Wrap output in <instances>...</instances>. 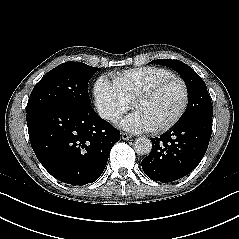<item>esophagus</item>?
<instances>
[{
	"mask_svg": "<svg viewBox=\"0 0 239 239\" xmlns=\"http://www.w3.org/2000/svg\"><path fill=\"white\" fill-rule=\"evenodd\" d=\"M121 138L123 140H129L131 138V136L128 133H126V132H122L121 133Z\"/></svg>",
	"mask_w": 239,
	"mask_h": 239,
	"instance_id": "34e87169",
	"label": "esophagus"
}]
</instances>
